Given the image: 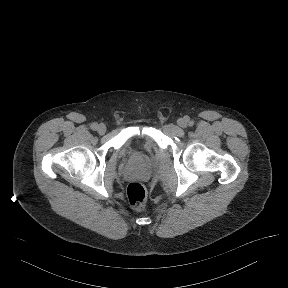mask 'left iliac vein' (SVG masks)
Segmentation results:
<instances>
[{"mask_svg": "<svg viewBox=\"0 0 288 288\" xmlns=\"http://www.w3.org/2000/svg\"><path fill=\"white\" fill-rule=\"evenodd\" d=\"M177 124L182 127V128H185L188 126V120L186 118H179L177 120Z\"/></svg>", "mask_w": 288, "mask_h": 288, "instance_id": "1", "label": "left iliac vein"}]
</instances>
